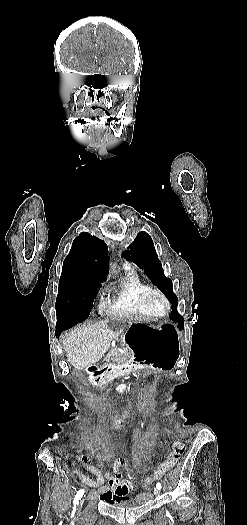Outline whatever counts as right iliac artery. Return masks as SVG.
Listing matches in <instances>:
<instances>
[{
    "label": "right iliac artery",
    "instance_id": "obj_1",
    "mask_svg": "<svg viewBox=\"0 0 247 525\" xmlns=\"http://www.w3.org/2000/svg\"><path fill=\"white\" fill-rule=\"evenodd\" d=\"M84 494V489H81L77 492L76 496H75V499H74V507H73V511H72V515H74L75 511H76V505L78 504L79 500L82 498Z\"/></svg>",
    "mask_w": 247,
    "mask_h": 525
}]
</instances>
